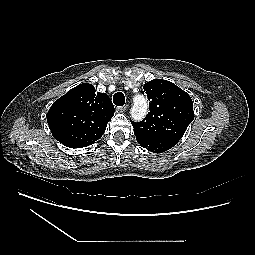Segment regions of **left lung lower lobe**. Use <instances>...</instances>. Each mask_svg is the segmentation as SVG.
<instances>
[{"mask_svg": "<svg viewBox=\"0 0 255 255\" xmlns=\"http://www.w3.org/2000/svg\"><path fill=\"white\" fill-rule=\"evenodd\" d=\"M138 143L147 150L154 153H162L171 149L178 141L172 139H159V140H137Z\"/></svg>", "mask_w": 255, "mask_h": 255, "instance_id": "obj_1", "label": "left lung lower lobe"}]
</instances>
